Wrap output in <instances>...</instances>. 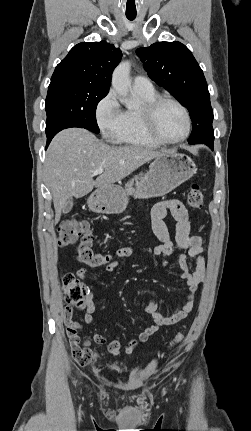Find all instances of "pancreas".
<instances>
[{
  "label": "pancreas",
  "mask_w": 251,
  "mask_h": 431,
  "mask_svg": "<svg viewBox=\"0 0 251 431\" xmlns=\"http://www.w3.org/2000/svg\"><path fill=\"white\" fill-rule=\"evenodd\" d=\"M136 180V179H135ZM133 184H134V179H132L131 181H129L126 185H125V191H126V195H132L134 192L133 189Z\"/></svg>",
  "instance_id": "obj_1"
}]
</instances>
